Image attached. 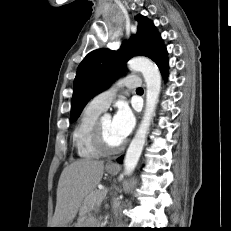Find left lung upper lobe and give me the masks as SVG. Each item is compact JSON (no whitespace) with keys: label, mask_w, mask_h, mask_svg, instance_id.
Returning <instances> with one entry per match:
<instances>
[{"label":"left lung upper lobe","mask_w":231,"mask_h":231,"mask_svg":"<svg viewBox=\"0 0 231 231\" xmlns=\"http://www.w3.org/2000/svg\"><path fill=\"white\" fill-rule=\"evenodd\" d=\"M135 19L137 33L123 42L119 50L97 49L80 63L73 84L70 122L79 117L91 98L107 89L126 70L130 58L143 55L152 59L163 45L152 21L142 15Z\"/></svg>","instance_id":"1"}]
</instances>
